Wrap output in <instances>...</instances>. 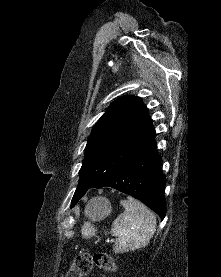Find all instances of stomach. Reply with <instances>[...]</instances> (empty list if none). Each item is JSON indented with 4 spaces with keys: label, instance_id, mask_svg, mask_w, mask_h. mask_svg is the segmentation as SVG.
Masks as SVG:
<instances>
[{
    "label": "stomach",
    "instance_id": "0dacf381",
    "mask_svg": "<svg viewBox=\"0 0 221 277\" xmlns=\"http://www.w3.org/2000/svg\"><path fill=\"white\" fill-rule=\"evenodd\" d=\"M89 213L87 214L92 220H99L105 217L110 212V204L104 199H97L92 201L89 206Z\"/></svg>",
    "mask_w": 221,
    "mask_h": 277
}]
</instances>
